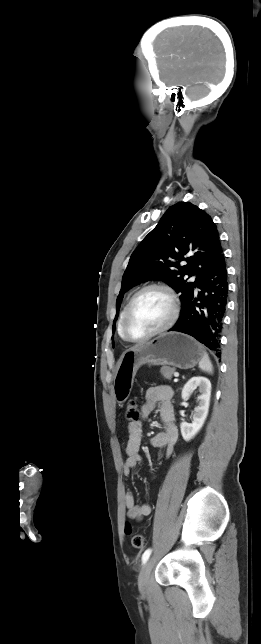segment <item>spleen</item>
Returning <instances> with one entry per match:
<instances>
[{"instance_id":"spleen-1","label":"spleen","mask_w":261,"mask_h":644,"mask_svg":"<svg viewBox=\"0 0 261 644\" xmlns=\"http://www.w3.org/2000/svg\"><path fill=\"white\" fill-rule=\"evenodd\" d=\"M199 368L202 371L207 372V373H212L213 372V366H212V363H211L207 353H205L204 356L202 357V359L200 360Z\"/></svg>"}]
</instances>
